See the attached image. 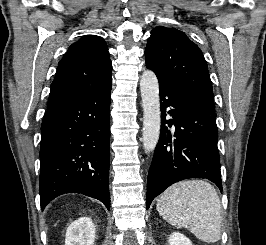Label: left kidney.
Instances as JSON below:
<instances>
[{
  "mask_svg": "<svg viewBox=\"0 0 266 245\" xmlns=\"http://www.w3.org/2000/svg\"><path fill=\"white\" fill-rule=\"evenodd\" d=\"M168 243L169 245H192L191 241L185 235H181V233H172Z\"/></svg>",
  "mask_w": 266,
  "mask_h": 245,
  "instance_id": "obj_1",
  "label": "left kidney"
}]
</instances>
